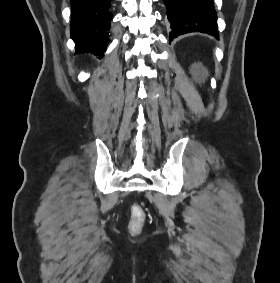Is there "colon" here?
Returning <instances> with one entry per match:
<instances>
[{
  "label": "colon",
  "instance_id": "1",
  "mask_svg": "<svg viewBox=\"0 0 280 283\" xmlns=\"http://www.w3.org/2000/svg\"><path fill=\"white\" fill-rule=\"evenodd\" d=\"M146 216L141 206L134 204L131 207V218L129 221V231L131 233H139L145 225Z\"/></svg>",
  "mask_w": 280,
  "mask_h": 283
}]
</instances>
